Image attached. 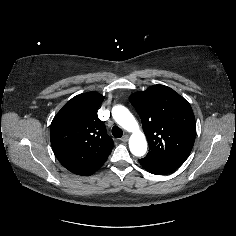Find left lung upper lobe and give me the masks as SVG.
<instances>
[{
	"label": "left lung upper lobe",
	"mask_w": 236,
	"mask_h": 236,
	"mask_svg": "<svg viewBox=\"0 0 236 236\" xmlns=\"http://www.w3.org/2000/svg\"><path fill=\"white\" fill-rule=\"evenodd\" d=\"M140 115L149 143L142 161L178 168L188 158L196 137L195 117L190 104L173 89L154 85L130 96Z\"/></svg>",
	"instance_id": "left-lung-upper-lobe-1"
}]
</instances>
